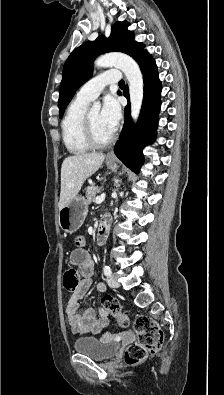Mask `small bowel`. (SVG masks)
I'll return each instance as SVG.
<instances>
[{"mask_svg": "<svg viewBox=\"0 0 224 395\" xmlns=\"http://www.w3.org/2000/svg\"><path fill=\"white\" fill-rule=\"evenodd\" d=\"M82 243V242H81ZM80 243V244H81ZM71 262L80 269L82 279L76 289L72 292L65 307V316L70 330L75 335L98 334L109 325V312L103 307L96 314L92 307H81V302L91 286V275L94 262L81 245L73 250ZM107 287L103 283L97 285V292L104 294Z\"/></svg>", "mask_w": 224, "mask_h": 395, "instance_id": "small-bowel-1", "label": "small bowel"}]
</instances>
